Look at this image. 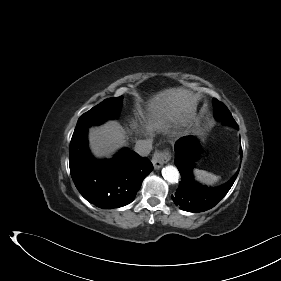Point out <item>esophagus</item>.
I'll list each match as a JSON object with an SVG mask.
<instances>
[{
	"label": "esophagus",
	"instance_id": "esophagus-1",
	"mask_svg": "<svg viewBox=\"0 0 281 281\" xmlns=\"http://www.w3.org/2000/svg\"><path fill=\"white\" fill-rule=\"evenodd\" d=\"M170 159H171V153L169 151H156L152 157V163L154 169L161 168Z\"/></svg>",
	"mask_w": 281,
	"mask_h": 281
}]
</instances>
